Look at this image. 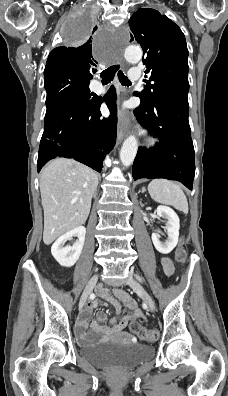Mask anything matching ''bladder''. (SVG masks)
I'll list each match as a JSON object with an SVG mask.
<instances>
[{
	"mask_svg": "<svg viewBox=\"0 0 228 396\" xmlns=\"http://www.w3.org/2000/svg\"><path fill=\"white\" fill-rule=\"evenodd\" d=\"M151 346L130 342L102 341L80 349L81 356L90 363L117 369L132 368L152 357Z\"/></svg>",
	"mask_w": 228,
	"mask_h": 396,
	"instance_id": "1",
	"label": "bladder"
}]
</instances>
